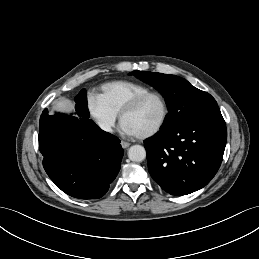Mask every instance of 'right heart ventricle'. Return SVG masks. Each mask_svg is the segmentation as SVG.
Here are the masks:
<instances>
[{
  "label": "right heart ventricle",
  "instance_id": "1",
  "mask_svg": "<svg viewBox=\"0 0 259 259\" xmlns=\"http://www.w3.org/2000/svg\"><path fill=\"white\" fill-rule=\"evenodd\" d=\"M100 90V96L116 114H120L133 98L150 92L146 86L125 80L106 83L101 86Z\"/></svg>",
  "mask_w": 259,
  "mask_h": 259
}]
</instances>
